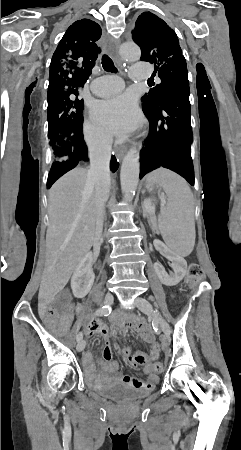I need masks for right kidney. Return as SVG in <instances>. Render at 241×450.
<instances>
[{
	"label": "right kidney",
	"instance_id": "1",
	"mask_svg": "<svg viewBox=\"0 0 241 450\" xmlns=\"http://www.w3.org/2000/svg\"><path fill=\"white\" fill-rule=\"evenodd\" d=\"M93 264V254L89 252L76 266L71 278V288L75 298H85L90 292L95 278Z\"/></svg>",
	"mask_w": 241,
	"mask_h": 450
}]
</instances>
